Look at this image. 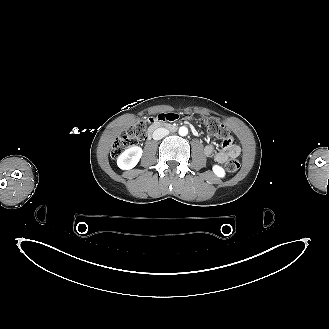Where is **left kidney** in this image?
Masks as SVG:
<instances>
[{
  "label": "left kidney",
  "mask_w": 329,
  "mask_h": 329,
  "mask_svg": "<svg viewBox=\"0 0 329 329\" xmlns=\"http://www.w3.org/2000/svg\"><path fill=\"white\" fill-rule=\"evenodd\" d=\"M212 169H213L214 174L217 177H220V178L225 177V174L226 173H225L224 169L221 166H219V165H213Z\"/></svg>",
  "instance_id": "left-kidney-1"
}]
</instances>
